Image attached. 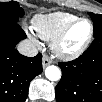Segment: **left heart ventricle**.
Masks as SVG:
<instances>
[{
	"label": "left heart ventricle",
	"mask_w": 102,
	"mask_h": 102,
	"mask_svg": "<svg viewBox=\"0 0 102 102\" xmlns=\"http://www.w3.org/2000/svg\"><path fill=\"white\" fill-rule=\"evenodd\" d=\"M88 25L84 22L78 23L71 31L68 38L62 45L65 52H72L82 43L84 32L87 30Z\"/></svg>",
	"instance_id": "obj_1"
}]
</instances>
